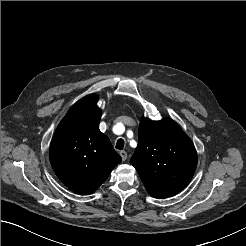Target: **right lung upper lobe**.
<instances>
[{
	"label": "right lung upper lobe",
	"instance_id": "1",
	"mask_svg": "<svg viewBox=\"0 0 246 246\" xmlns=\"http://www.w3.org/2000/svg\"><path fill=\"white\" fill-rule=\"evenodd\" d=\"M98 96L78 101L58 125L50 145V162L58 178L79 194L93 193L121 162L99 130Z\"/></svg>",
	"mask_w": 246,
	"mask_h": 246
}]
</instances>
